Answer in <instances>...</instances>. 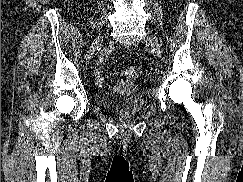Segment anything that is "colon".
I'll return each mask as SVG.
<instances>
[{
    "instance_id": "obj_1",
    "label": "colon",
    "mask_w": 243,
    "mask_h": 182,
    "mask_svg": "<svg viewBox=\"0 0 243 182\" xmlns=\"http://www.w3.org/2000/svg\"><path fill=\"white\" fill-rule=\"evenodd\" d=\"M141 73V68L138 66H129L123 71V75L127 79H136L141 75Z\"/></svg>"
}]
</instances>
